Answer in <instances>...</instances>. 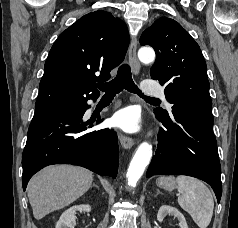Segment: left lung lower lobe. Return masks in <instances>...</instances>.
Instances as JSON below:
<instances>
[{
  "mask_svg": "<svg viewBox=\"0 0 238 228\" xmlns=\"http://www.w3.org/2000/svg\"><path fill=\"white\" fill-rule=\"evenodd\" d=\"M156 116L165 129L159 132L157 150L146 177L188 175L199 178L213 188L219 203L221 166L213 120L183 112H174L167 117Z\"/></svg>",
  "mask_w": 238,
  "mask_h": 228,
  "instance_id": "left-lung-lower-lobe-1",
  "label": "left lung lower lobe"
}]
</instances>
